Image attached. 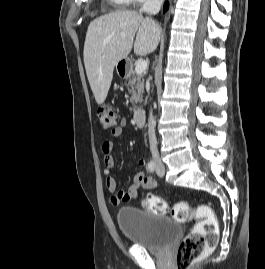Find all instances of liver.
Wrapping results in <instances>:
<instances>
[{
	"label": "liver",
	"instance_id": "6515ba94",
	"mask_svg": "<svg viewBox=\"0 0 265 269\" xmlns=\"http://www.w3.org/2000/svg\"><path fill=\"white\" fill-rule=\"evenodd\" d=\"M160 35L161 27L153 19L130 10L102 15L89 24L84 43V65L99 105L108 95L118 61L127 58L133 44L136 55L152 53L159 44Z\"/></svg>",
	"mask_w": 265,
	"mask_h": 269
}]
</instances>
